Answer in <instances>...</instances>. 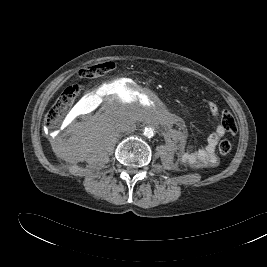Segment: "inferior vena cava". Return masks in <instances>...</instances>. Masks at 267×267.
Segmentation results:
<instances>
[{
  "label": "inferior vena cava",
  "mask_w": 267,
  "mask_h": 267,
  "mask_svg": "<svg viewBox=\"0 0 267 267\" xmlns=\"http://www.w3.org/2000/svg\"><path fill=\"white\" fill-rule=\"evenodd\" d=\"M117 130L119 132L131 133L135 130V124L130 120H122L117 123Z\"/></svg>",
  "instance_id": "inferior-vena-cava-1"
}]
</instances>
